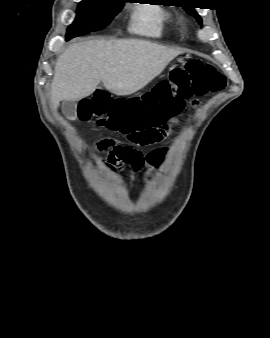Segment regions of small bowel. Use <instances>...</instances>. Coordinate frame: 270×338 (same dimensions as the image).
I'll use <instances>...</instances> for the list:
<instances>
[{
	"label": "small bowel",
	"mask_w": 270,
	"mask_h": 338,
	"mask_svg": "<svg viewBox=\"0 0 270 338\" xmlns=\"http://www.w3.org/2000/svg\"><path fill=\"white\" fill-rule=\"evenodd\" d=\"M94 146L101 150H107V164L115 165L126 161L127 152L131 149L127 145L116 143L113 139L107 137H100L93 143Z\"/></svg>",
	"instance_id": "1"
}]
</instances>
